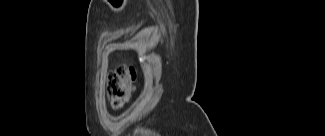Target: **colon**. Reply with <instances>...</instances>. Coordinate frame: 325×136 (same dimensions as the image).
Here are the masks:
<instances>
[{
	"mask_svg": "<svg viewBox=\"0 0 325 136\" xmlns=\"http://www.w3.org/2000/svg\"><path fill=\"white\" fill-rule=\"evenodd\" d=\"M136 72L133 68L120 66L107 78V93L114 109H121L133 89Z\"/></svg>",
	"mask_w": 325,
	"mask_h": 136,
	"instance_id": "colon-1",
	"label": "colon"
}]
</instances>
